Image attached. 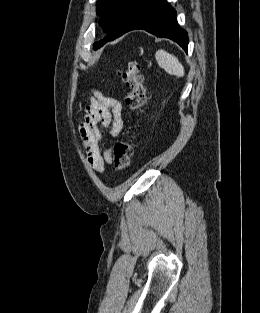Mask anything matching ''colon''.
<instances>
[{
  "label": "colon",
  "instance_id": "1",
  "mask_svg": "<svg viewBox=\"0 0 260 313\" xmlns=\"http://www.w3.org/2000/svg\"><path fill=\"white\" fill-rule=\"evenodd\" d=\"M140 66L136 62H129L126 68L118 72V76L127 86L125 103L129 113L141 108L146 101L143 78L140 75ZM134 147L128 140H120L114 146L113 166L116 172L127 170L132 161Z\"/></svg>",
  "mask_w": 260,
  "mask_h": 313
}]
</instances>
